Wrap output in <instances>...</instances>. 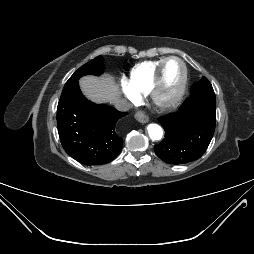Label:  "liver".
Here are the masks:
<instances>
[{
    "mask_svg": "<svg viewBox=\"0 0 254 254\" xmlns=\"http://www.w3.org/2000/svg\"><path fill=\"white\" fill-rule=\"evenodd\" d=\"M80 87L85 96L94 102H114L119 95L118 86L110 76H85L80 80Z\"/></svg>",
    "mask_w": 254,
    "mask_h": 254,
    "instance_id": "liver-1",
    "label": "liver"
}]
</instances>
